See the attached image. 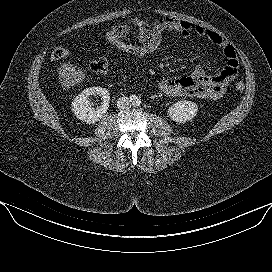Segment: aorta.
Segmentation results:
<instances>
[{
    "label": "aorta",
    "instance_id": "aorta-1",
    "mask_svg": "<svg viewBox=\"0 0 272 272\" xmlns=\"http://www.w3.org/2000/svg\"><path fill=\"white\" fill-rule=\"evenodd\" d=\"M131 102H132L133 105H139L141 103V100H140L139 97L134 95V96L131 97Z\"/></svg>",
    "mask_w": 272,
    "mask_h": 272
}]
</instances>
